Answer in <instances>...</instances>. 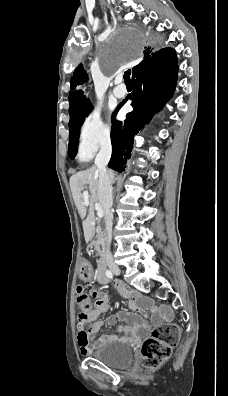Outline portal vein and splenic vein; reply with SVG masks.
Here are the masks:
<instances>
[{"instance_id":"18ae733b","label":"portal vein and splenic vein","mask_w":228,"mask_h":396,"mask_svg":"<svg viewBox=\"0 0 228 396\" xmlns=\"http://www.w3.org/2000/svg\"><path fill=\"white\" fill-rule=\"evenodd\" d=\"M83 196H84V198L86 199V201H88V192L87 191H84L83 192ZM95 209H96V211H97V215H98V217L99 218H102V216H103V210H102V207L100 206V204L99 203H95Z\"/></svg>"}]
</instances>
